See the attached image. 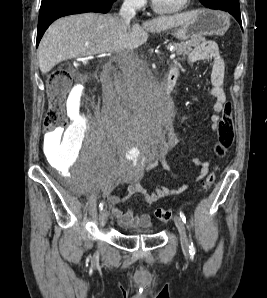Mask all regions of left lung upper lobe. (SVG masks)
Returning a JSON list of instances; mask_svg holds the SVG:
<instances>
[{
  "mask_svg": "<svg viewBox=\"0 0 267 298\" xmlns=\"http://www.w3.org/2000/svg\"><path fill=\"white\" fill-rule=\"evenodd\" d=\"M230 1H232L233 4H239V0H200L203 5L211 9H213L217 3Z\"/></svg>",
  "mask_w": 267,
  "mask_h": 298,
  "instance_id": "1",
  "label": "left lung upper lobe"
}]
</instances>
